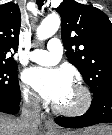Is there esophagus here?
<instances>
[{"label": "esophagus", "mask_w": 112, "mask_h": 135, "mask_svg": "<svg viewBox=\"0 0 112 135\" xmlns=\"http://www.w3.org/2000/svg\"><path fill=\"white\" fill-rule=\"evenodd\" d=\"M44 123L47 127L55 130H59L58 126L54 123L53 119L49 116H43Z\"/></svg>", "instance_id": "34e87169"}]
</instances>
